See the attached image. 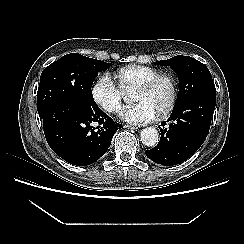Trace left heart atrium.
<instances>
[{"label":"left heart atrium","mask_w":244,"mask_h":244,"mask_svg":"<svg viewBox=\"0 0 244 244\" xmlns=\"http://www.w3.org/2000/svg\"><path fill=\"white\" fill-rule=\"evenodd\" d=\"M121 118L133 125H139L152 121L156 113L149 105L145 103H138L131 107L124 109L120 113Z\"/></svg>","instance_id":"1"}]
</instances>
